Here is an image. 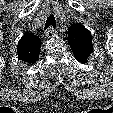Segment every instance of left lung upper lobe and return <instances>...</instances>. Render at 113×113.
Listing matches in <instances>:
<instances>
[{
    "label": "left lung upper lobe",
    "mask_w": 113,
    "mask_h": 113,
    "mask_svg": "<svg viewBox=\"0 0 113 113\" xmlns=\"http://www.w3.org/2000/svg\"><path fill=\"white\" fill-rule=\"evenodd\" d=\"M68 43L77 61L85 64L93 52L92 36L88 29L80 23L68 29Z\"/></svg>",
    "instance_id": "1"
}]
</instances>
